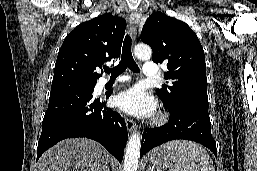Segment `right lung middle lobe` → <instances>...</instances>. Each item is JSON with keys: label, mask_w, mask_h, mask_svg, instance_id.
<instances>
[{"label": "right lung middle lobe", "mask_w": 257, "mask_h": 171, "mask_svg": "<svg viewBox=\"0 0 257 171\" xmlns=\"http://www.w3.org/2000/svg\"><path fill=\"white\" fill-rule=\"evenodd\" d=\"M96 83H87L81 85H70L68 87H61V86H52L51 92L60 91V90H67V89H75V88H86V89H94Z\"/></svg>", "instance_id": "dd1d6c3e"}]
</instances>
